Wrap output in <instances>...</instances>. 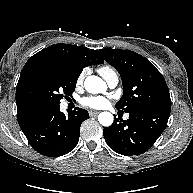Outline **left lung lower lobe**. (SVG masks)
Returning <instances> with one entry per match:
<instances>
[{"label": "left lung lower lobe", "instance_id": "0a47b994", "mask_svg": "<svg viewBox=\"0 0 193 193\" xmlns=\"http://www.w3.org/2000/svg\"><path fill=\"white\" fill-rule=\"evenodd\" d=\"M171 104H162L129 113L128 120L115 118L103 129L107 145L122 155H140L146 152L165 130Z\"/></svg>", "mask_w": 193, "mask_h": 193}]
</instances>
